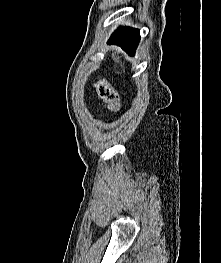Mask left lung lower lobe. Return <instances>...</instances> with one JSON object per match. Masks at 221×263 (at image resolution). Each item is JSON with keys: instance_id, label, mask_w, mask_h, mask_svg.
<instances>
[{"instance_id": "0a47b994", "label": "left lung lower lobe", "mask_w": 221, "mask_h": 263, "mask_svg": "<svg viewBox=\"0 0 221 263\" xmlns=\"http://www.w3.org/2000/svg\"><path fill=\"white\" fill-rule=\"evenodd\" d=\"M140 40L138 29L120 27L109 39V44L118 45L130 55H134Z\"/></svg>"}]
</instances>
